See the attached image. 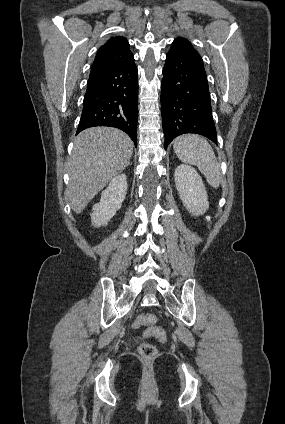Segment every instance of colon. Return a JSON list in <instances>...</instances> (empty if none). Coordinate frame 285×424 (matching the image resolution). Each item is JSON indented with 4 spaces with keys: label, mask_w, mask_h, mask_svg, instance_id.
Masks as SVG:
<instances>
[{
    "label": "colon",
    "mask_w": 285,
    "mask_h": 424,
    "mask_svg": "<svg viewBox=\"0 0 285 424\" xmlns=\"http://www.w3.org/2000/svg\"><path fill=\"white\" fill-rule=\"evenodd\" d=\"M155 321H156V317H155L154 314H152V313L141 314L136 318V320L134 322V327H141V326H144V325L151 326L155 323ZM145 335L146 336H155L160 341L166 340V334L160 328L150 327L146 330ZM138 351H139L140 356L145 358V359H153L157 354L156 347L153 344L148 343V342L142 343L139 346Z\"/></svg>",
    "instance_id": "obj_1"
}]
</instances>
